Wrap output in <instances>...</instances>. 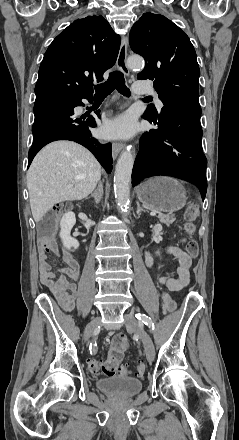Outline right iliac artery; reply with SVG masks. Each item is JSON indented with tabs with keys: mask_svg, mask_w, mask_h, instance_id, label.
<instances>
[{
	"mask_svg": "<svg viewBox=\"0 0 239 440\" xmlns=\"http://www.w3.org/2000/svg\"><path fill=\"white\" fill-rule=\"evenodd\" d=\"M90 351H91V354H92V353H93V354L96 353V351H97V345H96V343H95V344L92 343Z\"/></svg>",
	"mask_w": 239,
	"mask_h": 440,
	"instance_id": "1",
	"label": "right iliac artery"
}]
</instances>
